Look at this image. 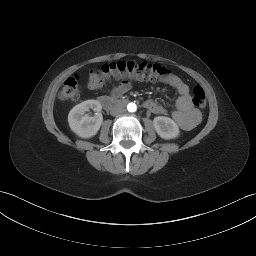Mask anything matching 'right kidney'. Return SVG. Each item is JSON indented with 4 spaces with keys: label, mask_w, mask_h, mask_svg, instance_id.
Masks as SVG:
<instances>
[{
    "label": "right kidney",
    "mask_w": 256,
    "mask_h": 256,
    "mask_svg": "<svg viewBox=\"0 0 256 256\" xmlns=\"http://www.w3.org/2000/svg\"><path fill=\"white\" fill-rule=\"evenodd\" d=\"M93 109L94 116L87 112ZM102 106L97 100H86L74 106L68 114L70 129L79 137L90 138L96 135L103 122Z\"/></svg>",
    "instance_id": "ca27d5eb"
}]
</instances>
